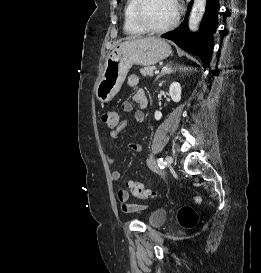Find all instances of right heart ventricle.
I'll return each instance as SVG.
<instances>
[{
	"label": "right heart ventricle",
	"mask_w": 261,
	"mask_h": 273,
	"mask_svg": "<svg viewBox=\"0 0 261 273\" xmlns=\"http://www.w3.org/2000/svg\"><path fill=\"white\" fill-rule=\"evenodd\" d=\"M135 4V0H127L124 8V24L123 28L125 33L129 35H140L143 31L138 28L132 19V10Z\"/></svg>",
	"instance_id": "1"
}]
</instances>
